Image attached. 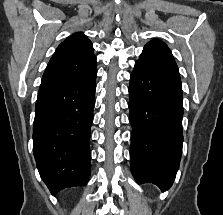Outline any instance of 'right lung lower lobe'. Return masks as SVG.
<instances>
[{"mask_svg": "<svg viewBox=\"0 0 223 215\" xmlns=\"http://www.w3.org/2000/svg\"><path fill=\"white\" fill-rule=\"evenodd\" d=\"M96 74L95 68L81 79L38 92L33 152L53 195L66 187L85 186L90 177Z\"/></svg>", "mask_w": 223, "mask_h": 215, "instance_id": "98d812e1", "label": "right lung lower lobe"}]
</instances>
